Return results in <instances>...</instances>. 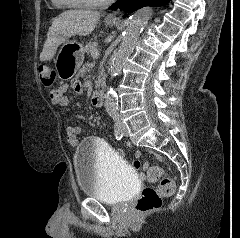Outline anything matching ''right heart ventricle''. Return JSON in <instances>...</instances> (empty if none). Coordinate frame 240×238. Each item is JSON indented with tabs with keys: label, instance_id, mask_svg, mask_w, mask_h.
<instances>
[{
	"label": "right heart ventricle",
	"instance_id": "e07e8e85",
	"mask_svg": "<svg viewBox=\"0 0 240 238\" xmlns=\"http://www.w3.org/2000/svg\"><path fill=\"white\" fill-rule=\"evenodd\" d=\"M51 2L56 6L68 7V6H65L62 2H60V0H51Z\"/></svg>",
	"mask_w": 240,
	"mask_h": 238
}]
</instances>
